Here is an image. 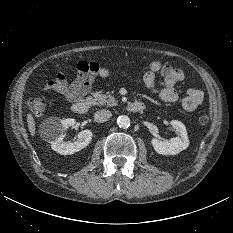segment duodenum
Here are the masks:
<instances>
[{"label": "duodenum", "mask_w": 233, "mask_h": 233, "mask_svg": "<svg viewBox=\"0 0 233 233\" xmlns=\"http://www.w3.org/2000/svg\"><path fill=\"white\" fill-rule=\"evenodd\" d=\"M92 101L90 99H77L72 104V111L75 114L82 115L88 112ZM145 105L140 101H132L127 105L128 111L132 113H142L145 111Z\"/></svg>", "instance_id": "obj_1"}]
</instances>
